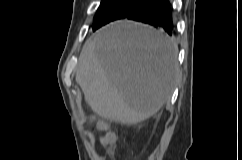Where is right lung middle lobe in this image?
Instances as JSON below:
<instances>
[{
	"instance_id": "1",
	"label": "right lung middle lobe",
	"mask_w": 242,
	"mask_h": 160,
	"mask_svg": "<svg viewBox=\"0 0 242 160\" xmlns=\"http://www.w3.org/2000/svg\"><path fill=\"white\" fill-rule=\"evenodd\" d=\"M146 1L148 0H102L94 17L93 31L113 20L124 18Z\"/></svg>"
}]
</instances>
